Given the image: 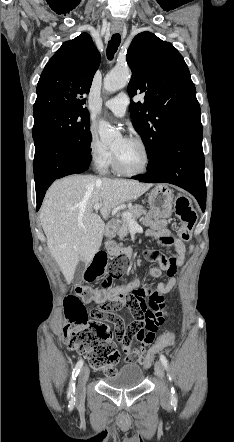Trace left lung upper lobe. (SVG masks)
<instances>
[{"label":"left lung upper lobe","instance_id":"obj_1","mask_svg":"<svg viewBox=\"0 0 234 442\" xmlns=\"http://www.w3.org/2000/svg\"><path fill=\"white\" fill-rule=\"evenodd\" d=\"M132 70L130 97L145 94L144 101L131 102L135 130L146 147L152 166L166 140L177 130L200 120V106L189 69L178 50L150 32L136 35L127 51Z\"/></svg>","mask_w":234,"mask_h":442}]
</instances>
